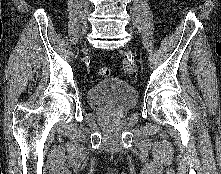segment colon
<instances>
[{
  "label": "colon",
  "mask_w": 221,
  "mask_h": 174,
  "mask_svg": "<svg viewBox=\"0 0 221 174\" xmlns=\"http://www.w3.org/2000/svg\"><path fill=\"white\" fill-rule=\"evenodd\" d=\"M99 75L102 77H108L111 75V70L108 67H101L99 69Z\"/></svg>",
  "instance_id": "1"
}]
</instances>
